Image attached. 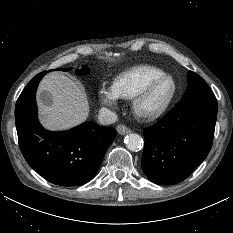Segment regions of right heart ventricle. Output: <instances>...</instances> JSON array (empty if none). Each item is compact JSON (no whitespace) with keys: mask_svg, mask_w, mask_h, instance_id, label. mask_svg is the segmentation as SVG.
<instances>
[{"mask_svg":"<svg viewBox=\"0 0 233 233\" xmlns=\"http://www.w3.org/2000/svg\"><path fill=\"white\" fill-rule=\"evenodd\" d=\"M164 71L151 65H139L121 73L113 87L120 98H133L146 84L164 75Z\"/></svg>","mask_w":233,"mask_h":233,"instance_id":"right-heart-ventricle-1","label":"right heart ventricle"}]
</instances>
